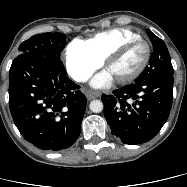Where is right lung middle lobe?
<instances>
[{"instance_id": "1", "label": "right lung middle lobe", "mask_w": 187, "mask_h": 187, "mask_svg": "<svg viewBox=\"0 0 187 187\" xmlns=\"http://www.w3.org/2000/svg\"><path fill=\"white\" fill-rule=\"evenodd\" d=\"M66 45V36L62 33L36 34L21 43L19 47L22 53H37L43 56L60 58V53Z\"/></svg>"}]
</instances>
